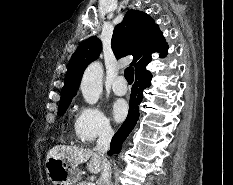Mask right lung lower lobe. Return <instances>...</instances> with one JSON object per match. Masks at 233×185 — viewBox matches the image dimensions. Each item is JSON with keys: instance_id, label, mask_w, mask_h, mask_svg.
Listing matches in <instances>:
<instances>
[{"instance_id": "right-lung-lower-lobe-1", "label": "right lung lower lobe", "mask_w": 233, "mask_h": 185, "mask_svg": "<svg viewBox=\"0 0 233 185\" xmlns=\"http://www.w3.org/2000/svg\"><path fill=\"white\" fill-rule=\"evenodd\" d=\"M151 79L152 75L146 68L135 73V83L131 90L129 113L123 125L112 138L111 150L108 152L109 155L119 153L121 144L136 125L139 118L138 106L143 98L142 92L151 85Z\"/></svg>"}]
</instances>
